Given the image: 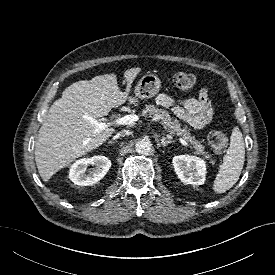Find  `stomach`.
<instances>
[{"label": "stomach", "mask_w": 275, "mask_h": 275, "mask_svg": "<svg viewBox=\"0 0 275 275\" xmlns=\"http://www.w3.org/2000/svg\"><path fill=\"white\" fill-rule=\"evenodd\" d=\"M160 84V79L156 75L145 74L135 86V96L131 97V103L136 102L138 98L150 99L154 97L159 92Z\"/></svg>", "instance_id": "stomach-1"}]
</instances>
